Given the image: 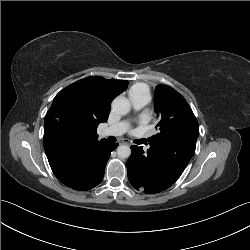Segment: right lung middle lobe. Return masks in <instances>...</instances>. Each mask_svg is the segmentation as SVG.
Instances as JSON below:
<instances>
[{
  "instance_id": "1",
  "label": "right lung middle lobe",
  "mask_w": 250,
  "mask_h": 250,
  "mask_svg": "<svg viewBox=\"0 0 250 250\" xmlns=\"http://www.w3.org/2000/svg\"><path fill=\"white\" fill-rule=\"evenodd\" d=\"M62 113L66 123L71 125H76L79 123L77 103L74 96H68V100L63 106Z\"/></svg>"
}]
</instances>
